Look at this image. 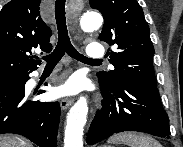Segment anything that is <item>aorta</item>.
Here are the masks:
<instances>
[{
    "mask_svg": "<svg viewBox=\"0 0 183 147\" xmlns=\"http://www.w3.org/2000/svg\"><path fill=\"white\" fill-rule=\"evenodd\" d=\"M79 22L83 31L91 32L102 26L103 18L97 12H86L80 16ZM87 113V99L82 96L68 113L64 147H83V128Z\"/></svg>",
    "mask_w": 183,
    "mask_h": 147,
    "instance_id": "762f6f07",
    "label": "aorta"
}]
</instances>
